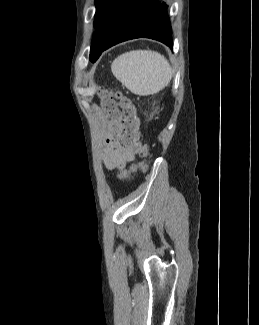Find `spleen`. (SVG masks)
Returning <instances> with one entry per match:
<instances>
[{
  "mask_svg": "<svg viewBox=\"0 0 259 325\" xmlns=\"http://www.w3.org/2000/svg\"><path fill=\"white\" fill-rule=\"evenodd\" d=\"M113 75L132 93H158L172 78L168 60L156 51L133 50L118 56L111 65Z\"/></svg>",
  "mask_w": 259,
  "mask_h": 325,
  "instance_id": "1",
  "label": "spleen"
}]
</instances>
